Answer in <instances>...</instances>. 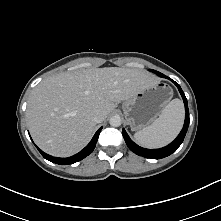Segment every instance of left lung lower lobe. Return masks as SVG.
<instances>
[{
  "instance_id": "0a47b994",
  "label": "left lung lower lobe",
  "mask_w": 221,
  "mask_h": 221,
  "mask_svg": "<svg viewBox=\"0 0 221 221\" xmlns=\"http://www.w3.org/2000/svg\"><path fill=\"white\" fill-rule=\"evenodd\" d=\"M159 76L166 77L163 74H160ZM170 80L172 82H174V84L178 87L179 92L183 98L184 105H185L186 114H185V122H184L183 129L181 130L180 134L177 136V138L172 143H170L169 145H167L163 148H160V149H146V148H142V147L138 146L130 139V137L128 136L126 131L123 129V137L125 139L127 146L129 147V149L132 152H134L135 154H137L139 156H143V157L151 158V159H161V158L167 157V156L171 155L173 152H175L184 140V137L186 135V132H187V129L189 126V121H190L189 120V113H188L189 110H188L187 98H186L184 92L182 91L180 85L177 84L172 79H170Z\"/></svg>"
}]
</instances>
